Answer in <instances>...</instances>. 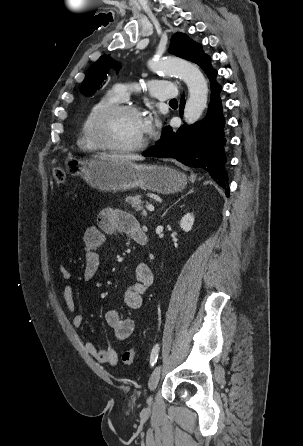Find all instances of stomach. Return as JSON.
<instances>
[{"instance_id":"1","label":"stomach","mask_w":303,"mask_h":446,"mask_svg":"<svg viewBox=\"0 0 303 446\" xmlns=\"http://www.w3.org/2000/svg\"><path fill=\"white\" fill-rule=\"evenodd\" d=\"M65 170L71 176L81 177L91 187L108 192L139 187L171 194L183 190L187 185V177L180 171L162 165L136 164L130 160H82L68 156Z\"/></svg>"}]
</instances>
